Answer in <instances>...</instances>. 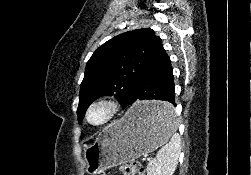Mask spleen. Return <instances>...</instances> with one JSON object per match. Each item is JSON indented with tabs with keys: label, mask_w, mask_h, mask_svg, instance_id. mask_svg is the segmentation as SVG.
<instances>
[{
	"label": "spleen",
	"mask_w": 251,
	"mask_h": 175,
	"mask_svg": "<svg viewBox=\"0 0 251 175\" xmlns=\"http://www.w3.org/2000/svg\"><path fill=\"white\" fill-rule=\"evenodd\" d=\"M161 125L169 135L168 143L159 149L156 159L148 163V175H173L181 151V137L176 133L175 113L173 109H167L166 115L157 111Z\"/></svg>",
	"instance_id": "obj_1"
}]
</instances>
